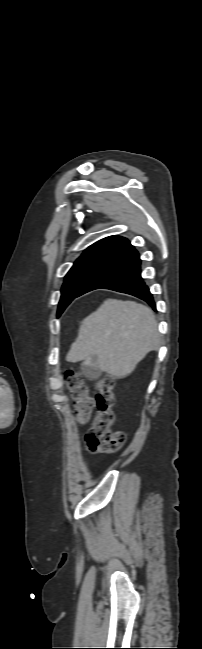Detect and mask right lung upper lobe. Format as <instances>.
<instances>
[{"label":"right lung upper lobe","instance_id":"right-lung-upper-lobe-1","mask_svg":"<svg viewBox=\"0 0 202 649\" xmlns=\"http://www.w3.org/2000/svg\"><path fill=\"white\" fill-rule=\"evenodd\" d=\"M133 248L134 247L126 238L120 236H109L88 247L82 255L104 253L118 256L130 251Z\"/></svg>","mask_w":202,"mask_h":649}]
</instances>
